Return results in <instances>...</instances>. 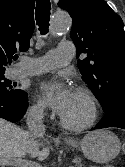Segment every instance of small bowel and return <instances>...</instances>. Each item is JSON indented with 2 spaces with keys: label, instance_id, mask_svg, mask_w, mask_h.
<instances>
[{
  "label": "small bowel",
  "instance_id": "c3829d8e",
  "mask_svg": "<svg viewBox=\"0 0 125 167\" xmlns=\"http://www.w3.org/2000/svg\"><path fill=\"white\" fill-rule=\"evenodd\" d=\"M105 167H113V166L109 165V166H105Z\"/></svg>",
  "mask_w": 125,
  "mask_h": 167
}]
</instances>
